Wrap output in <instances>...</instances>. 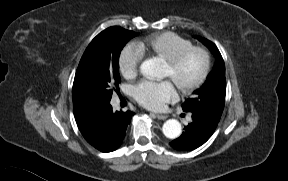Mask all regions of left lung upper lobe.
I'll return each mask as SVG.
<instances>
[{"label": "left lung upper lobe", "mask_w": 288, "mask_h": 181, "mask_svg": "<svg viewBox=\"0 0 288 181\" xmlns=\"http://www.w3.org/2000/svg\"><path fill=\"white\" fill-rule=\"evenodd\" d=\"M205 44L216 56L212 72L203 86L193 92V97L187 99L182 108L185 112H202L216 120H220L226 94L225 64L216 45L200 36H194Z\"/></svg>", "instance_id": "5c2ea615"}]
</instances>
